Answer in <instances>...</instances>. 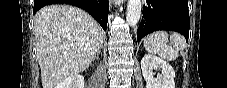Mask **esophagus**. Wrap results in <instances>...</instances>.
<instances>
[{
	"instance_id": "1",
	"label": "esophagus",
	"mask_w": 227,
	"mask_h": 88,
	"mask_svg": "<svg viewBox=\"0 0 227 88\" xmlns=\"http://www.w3.org/2000/svg\"><path fill=\"white\" fill-rule=\"evenodd\" d=\"M115 4H117V3H123V2H125V0H114L113 1Z\"/></svg>"
}]
</instances>
